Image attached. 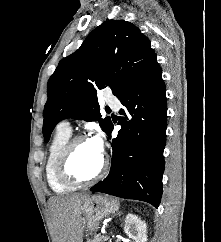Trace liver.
Returning a JSON list of instances; mask_svg holds the SVG:
<instances>
[{"label":"liver","instance_id":"6515ba94","mask_svg":"<svg viewBox=\"0 0 221 242\" xmlns=\"http://www.w3.org/2000/svg\"><path fill=\"white\" fill-rule=\"evenodd\" d=\"M88 197V193H78L50 199L54 242L83 241L81 207Z\"/></svg>","mask_w":221,"mask_h":242}]
</instances>
